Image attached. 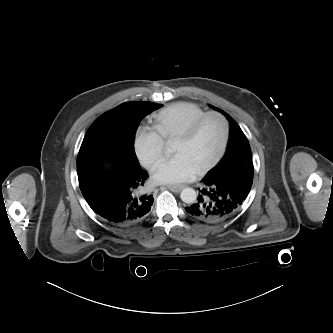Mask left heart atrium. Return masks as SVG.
I'll return each instance as SVG.
<instances>
[{
    "mask_svg": "<svg viewBox=\"0 0 333 333\" xmlns=\"http://www.w3.org/2000/svg\"><path fill=\"white\" fill-rule=\"evenodd\" d=\"M198 170L183 154H175L162 161L154 170L153 178L162 184H180L193 180Z\"/></svg>",
    "mask_w": 333,
    "mask_h": 333,
    "instance_id": "39dd6f15",
    "label": "left heart atrium"
}]
</instances>
